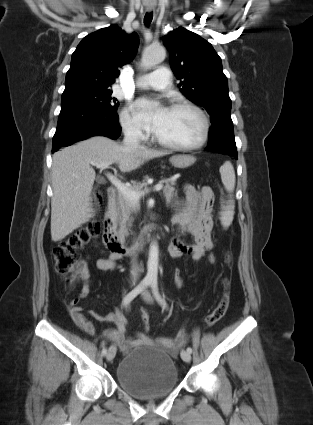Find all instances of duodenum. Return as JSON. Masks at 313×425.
Returning a JSON list of instances; mask_svg holds the SVG:
<instances>
[{"label":"duodenum","mask_w":313,"mask_h":425,"mask_svg":"<svg viewBox=\"0 0 313 425\" xmlns=\"http://www.w3.org/2000/svg\"><path fill=\"white\" fill-rule=\"evenodd\" d=\"M107 204L103 217L102 240L105 247L112 253L125 256L132 255L139 250L149 239V232L143 233L135 246H126L116 230V189L109 187L106 191ZM162 232L159 231V234Z\"/></svg>","instance_id":"duodenum-1"}]
</instances>
